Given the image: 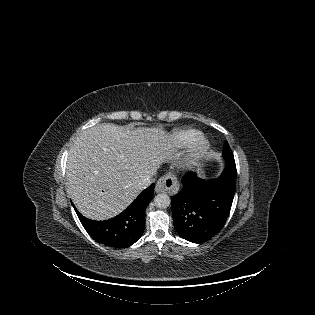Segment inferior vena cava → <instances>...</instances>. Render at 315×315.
Returning <instances> with one entry per match:
<instances>
[{
	"label": "inferior vena cava",
	"instance_id": "1",
	"mask_svg": "<svg viewBox=\"0 0 315 315\" xmlns=\"http://www.w3.org/2000/svg\"><path fill=\"white\" fill-rule=\"evenodd\" d=\"M152 182H154V177H153V176L145 178V179L142 181V186H143V188L148 187L149 185H151Z\"/></svg>",
	"mask_w": 315,
	"mask_h": 315
}]
</instances>
